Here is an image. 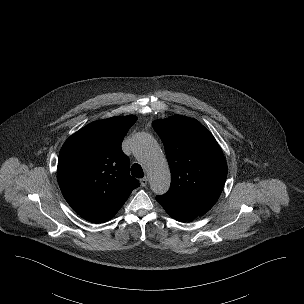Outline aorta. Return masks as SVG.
Masks as SVG:
<instances>
[{
	"label": "aorta",
	"mask_w": 304,
	"mask_h": 304,
	"mask_svg": "<svg viewBox=\"0 0 304 304\" xmlns=\"http://www.w3.org/2000/svg\"><path fill=\"white\" fill-rule=\"evenodd\" d=\"M132 148L148 172L151 190L157 195L166 193L170 187V169L155 139L148 133H138Z\"/></svg>",
	"instance_id": "obj_1"
}]
</instances>
